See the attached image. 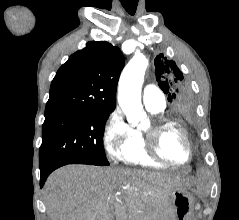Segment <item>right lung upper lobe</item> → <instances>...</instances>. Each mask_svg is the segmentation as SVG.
Instances as JSON below:
<instances>
[{
    "label": "right lung upper lobe",
    "mask_w": 239,
    "mask_h": 220,
    "mask_svg": "<svg viewBox=\"0 0 239 220\" xmlns=\"http://www.w3.org/2000/svg\"><path fill=\"white\" fill-rule=\"evenodd\" d=\"M124 59L106 41L88 42L72 54L52 80L45 115L63 112H112Z\"/></svg>",
    "instance_id": "obj_1"
}]
</instances>
